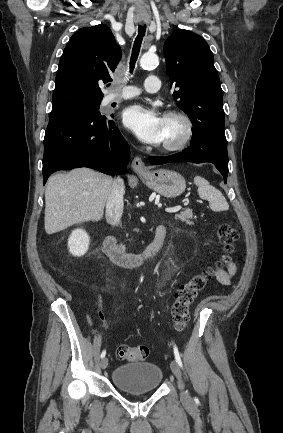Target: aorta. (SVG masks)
<instances>
[{
	"label": "aorta",
	"instance_id": "aorta-1",
	"mask_svg": "<svg viewBox=\"0 0 283 433\" xmlns=\"http://www.w3.org/2000/svg\"><path fill=\"white\" fill-rule=\"evenodd\" d=\"M158 64V56L153 53H145L140 59V66L144 69L156 67Z\"/></svg>",
	"mask_w": 283,
	"mask_h": 433
}]
</instances>
